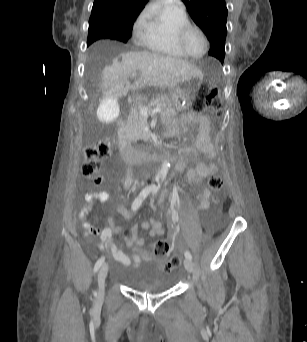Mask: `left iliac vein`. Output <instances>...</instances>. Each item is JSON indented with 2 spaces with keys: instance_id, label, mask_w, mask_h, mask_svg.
<instances>
[{
  "instance_id": "1",
  "label": "left iliac vein",
  "mask_w": 307,
  "mask_h": 342,
  "mask_svg": "<svg viewBox=\"0 0 307 342\" xmlns=\"http://www.w3.org/2000/svg\"><path fill=\"white\" fill-rule=\"evenodd\" d=\"M184 267L188 272H192L194 270V264L190 259L187 258L184 260Z\"/></svg>"
}]
</instances>
